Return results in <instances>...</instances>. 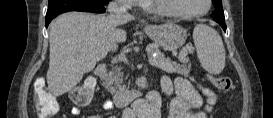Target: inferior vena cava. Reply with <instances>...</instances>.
<instances>
[{
    "label": "inferior vena cava",
    "mask_w": 273,
    "mask_h": 118,
    "mask_svg": "<svg viewBox=\"0 0 273 118\" xmlns=\"http://www.w3.org/2000/svg\"><path fill=\"white\" fill-rule=\"evenodd\" d=\"M108 11L112 14L120 15V14H127L126 9L122 7L116 1H112L108 6Z\"/></svg>",
    "instance_id": "inferior-vena-cava-1"
}]
</instances>
